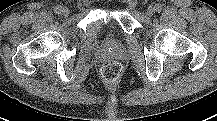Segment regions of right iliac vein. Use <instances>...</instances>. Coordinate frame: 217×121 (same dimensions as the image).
<instances>
[{"label":"right iliac vein","mask_w":217,"mask_h":121,"mask_svg":"<svg viewBox=\"0 0 217 121\" xmlns=\"http://www.w3.org/2000/svg\"><path fill=\"white\" fill-rule=\"evenodd\" d=\"M69 14H70V11L67 8L62 9V15L63 16L67 17V16H69Z\"/></svg>","instance_id":"right-iliac-vein-1"}]
</instances>
